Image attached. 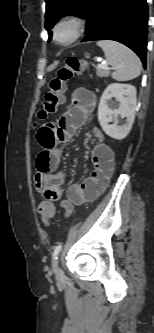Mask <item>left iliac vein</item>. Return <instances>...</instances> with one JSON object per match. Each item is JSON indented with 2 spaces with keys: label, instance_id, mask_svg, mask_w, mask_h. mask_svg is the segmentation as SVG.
Returning <instances> with one entry per match:
<instances>
[{
  "label": "left iliac vein",
  "instance_id": "left-iliac-vein-1",
  "mask_svg": "<svg viewBox=\"0 0 154 333\" xmlns=\"http://www.w3.org/2000/svg\"><path fill=\"white\" fill-rule=\"evenodd\" d=\"M55 276L57 280H61L63 277V273L57 264L55 265Z\"/></svg>",
  "mask_w": 154,
  "mask_h": 333
}]
</instances>
